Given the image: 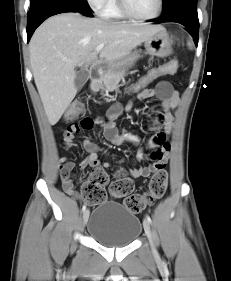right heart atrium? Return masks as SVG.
Listing matches in <instances>:
<instances>
[{"instance_id": "obj_1", "label": "right heart atrium", "mask_w": 231, "mask_h": 281, "mask_svg": "<svg viewBox=\"0 0 231 281\" xmlns=\"http://www.w3.org/2000/svg\"><path fill=\"white\" fill-rule=\"evenodd\" d=\"M109 1L110 0H86L90 8L97 13H102Z\"/></svg>"}]
</instances>
